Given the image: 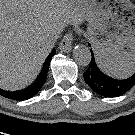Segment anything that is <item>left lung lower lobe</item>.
Wrapping results in <instances>:
<instances>
[{"instance_id": "left-lung-lower-lobe-1", "label": "left lung lower lobe", "mask_w": 135, "mask_h": 135, "mask_svg": "<svg viewBox=\"0 0 135 135\" xmlns=\"http://www.w3.org/2000/svg\"><path fill=\"white\" fill-rule=\"evenodd\" d=\"M91 55L92 60L84 73V80L97 94L104 97H118L135 85V74L125 80L113 79L99 70L92 50Z\"/></svg>"}]
</instances>
